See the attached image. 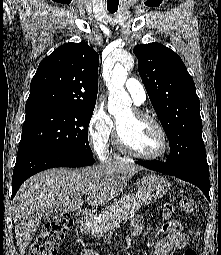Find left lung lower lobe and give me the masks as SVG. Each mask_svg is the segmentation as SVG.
I'll return each mask as SVG.
<instances>
[{"instance_id": "0a47b994", "label": "left lung lower lobe", "mask_w": 221, "mask_h": 255, "mask_svg": "<svg viewBox=\"0 0 221 255\" xmlns=\"http://www.w3.org/2000/svg\"><path fill=\"white\" fill-rule=\"evenodd\" d=\"M136 163L167 175L190 182L199 187L209 199V167L206 160L189 163L180 167H172L164 162H138Z\"/></svg>"}]
</instances>
